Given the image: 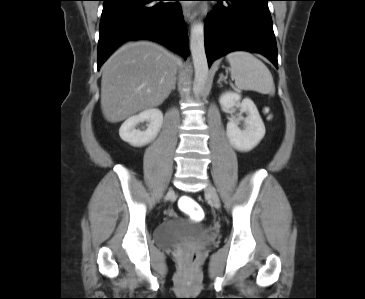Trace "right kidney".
I'll use <instances>...</instances> for the list:
<instances>
[{
    "label": "right kidney",
    "instance_id": "obj_1",
    "mask_svg": "<svg viewBox=\"0 0 365 299\" xmlns=\"http://www.w3.org/2000/svg\"><path fill=\"white\" fill-rule=\"evenodd\" d=\"M147 121V129H136L140 122ZM163 124V114L159 109H147L138 115L128 118L120 127L121 139L132 146L140 147L155 139Z\"/></svg>",
    "mask_w": 365,
    "mask_h": 299
}]
</instances>
